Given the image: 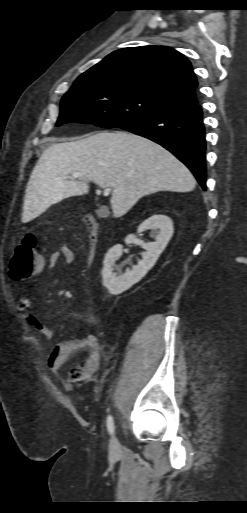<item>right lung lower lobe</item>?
Wrapping results in <instances>:
<instances>
[{
	"mask_svg": "<svg viewBox=\"0 0 247 513\" xmlns=\"http://www.w3.org/2000/svg\"><path fill=\"white\" fill-rule=\"evenodd\" d=\"M121 128L169 150L191 170L206 190V141L202 109L197 102L167 108Z\"/></svg>",
	"mask_w": 247,
	"mask_h": 513,
	"instance_id": "1",
	"label": "right lung lower lobe"
}]
</instances>
